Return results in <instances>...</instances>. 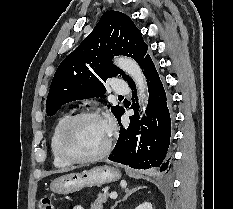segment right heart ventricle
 Instances as JSON below:
<instances>
[{"label":"right heart ventricle","mask_w":233,"mask_h":209,"mask_svg":"<svg viewBox=\"0 0 233 209\" xmlns=\"http://www.w3.org/2000/svg\"><path fill=\"white\" fill-rule=\"evenodd\" d=\"M69 117L70 115L68 113H64L58 118L54 126L51 139H50V149H51V154L53 158V163L58 168H65L71 165V163L66 161L61 156L60 151H59V138L61 135V131Z\"/></svg>","instance_id":"e07e8e85"}]
</instances>
